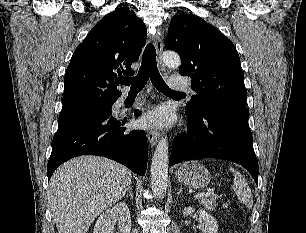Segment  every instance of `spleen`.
Returning a JSON list of instances; mask_svg holds the SVG:
<instances>
[{"mask_svg":"<svg viewBox=\"0 0 306 233\" xmlns=\"http://www.w3.org/2000/svg\"><path fill=\"white\" fill-rule=\"evenodd\" d=\"M230 171L234 175V183H233V191L235 192L238 200L245 204L247 208L250 210L253 206V196L251 193V189L248 186L245 178L241 175L240 172L230 167Z\"/></svg>","mask_w":306,"mask_h":233,"instance_id":"spleen-1","label":"spleen"}]
</instances>
